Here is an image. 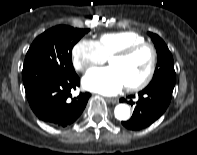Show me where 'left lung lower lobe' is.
<instances>
[{"label": "left lung lower lobe", "instance_id": "left-lung-lower-lobe-1", "mask_svg": "<svg viewBox=\"0 0 197 155\" xmlns=\"http://www.w3.org/2000/svg\"><path fill=\"white\" fill-rule=\"evenodd\" d=\"M173 89L165 86L146 87L139 92V99L130 120L122 122L130 130H139L150 126L166 110L172 98ZM134 97V96H133ZM128 98H131L129 96ZM126 101L124 98L120 102ZM131 105L133 101H130Z\"/></svg>", "mask_w": 197, "mask_h": 155}]
</instances>
